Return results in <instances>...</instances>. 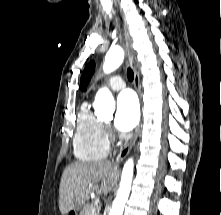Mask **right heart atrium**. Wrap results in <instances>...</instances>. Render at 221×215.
<instances>
[{
	"label": "right heart atrium",
	"instance_id": "right-heart-atrium-1",
	"mask_svg": "<svg viewBox=\"0 0 221 215\" xmlns=\"http://www.w3.org/2000/svg\"><path fill=\"white\" fill-rule=\"evenodd\" d=\"M104 132H105V135H106V136H108V135L111 134V130L109 129L108 126H105V127H104Z\"/></svg>",
	"mask_w": 221,
	"mask_h": 215
}]
</instances>
